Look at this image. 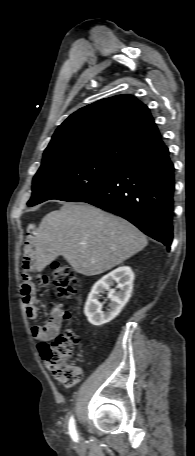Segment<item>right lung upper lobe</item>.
<instances>
[{"label":"right lung upper lobe","mask_w":195,"mask_h":456,"mask_svg":"<svg viewBox=\"0 0 195 456\" xmlns=\"http://www.w3.org/2000/svg\"><path fill=\"white\" fill-rule=\"evenodd\" d=\"M163 147L149 109L131 95H118L70 115L55 131L42 163L87 158L123 165Z\"/></svg>","instance_id":"cb5924a9"}]
</instances>
